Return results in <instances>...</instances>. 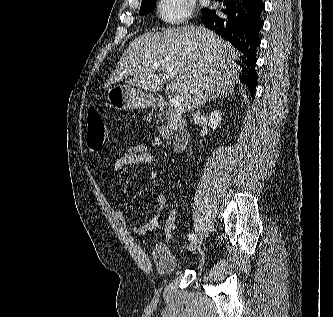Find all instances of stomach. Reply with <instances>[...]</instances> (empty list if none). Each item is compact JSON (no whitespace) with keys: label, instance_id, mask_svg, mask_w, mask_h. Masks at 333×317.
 Wrapping results in <instances>:
<instances>
[{"label":"stomach","instance_id":"0dacf381","mask_svg":"<svg viewBox=\"0 0 333 317\" xmlns=\"http://www.w3.org/2000/svg\"><path fill=\"white\" fill-rule=\"evenodd\" d=\"M109 103L117 110L144 109L156 105L155 96L127 84L111 87L107 96Z\"/></svg>","mask_w":333,"mask_h":317}]
</instances>
